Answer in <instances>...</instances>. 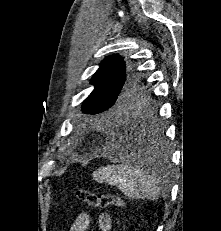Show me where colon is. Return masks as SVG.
Listing matches in <instances>:
<instances>
[{"instance_id":"obj_1","label":"colon","mask_w":221,"mask_h":231,"mask_svg":"<svg viewBox=\"0 0 221 231\" xmlns=\"http://www.w3.org/2000/svg\"><path fill=\"white\" fill-rule=\"evenodd\" d=\"M75 195L79 200L92 207H123L124 205L123 200L116 195L96 194L84 188H77Z\"/></svg>"}]
</instances>
